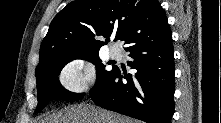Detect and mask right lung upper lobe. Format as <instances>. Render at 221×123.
Wrapping results in <instances>:
<instances>
[{"instance_id":"obj_1","label":"right lung upper lobe","mask_w":221,"mask_h":123,"mask_svg":"<svg viewBox=\"0 0 221 123\" xmlns=\"http://www.w3.org/2000/svg\"><path fill=\"white\" fill-rule=\"evenodd\" d=\"M171 34L158 0H81L69 3L52 20L40 47V67L57 59L99 51L110 38L128 50ZM104 37L106 42L98 40Z\"/></svg>"}]
</instances>
